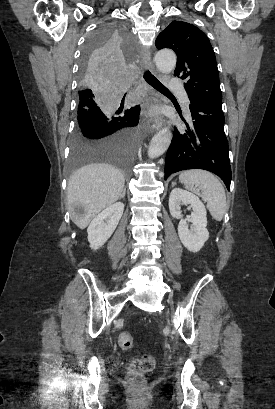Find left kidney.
Here are the masks:
<instances>
[{"mask_svg":"<svg viewBox=\"0 0 275 409\" xmlns=\"http://www.w3.org/2000/svg\"><path fill=\"white\" fill-rule=\"evenodd\" d=\"M180 205H190L193 213L187 219L192 223V229H188L186 219H181L182 211ZM169 209L172 217L181 219L178 225V235L181 243L188 251L198 253L202 249L205 241L209 239L207 227L206 209L198 196L183 190V188H173L169 196Z\"/></svg>","mask_w":275,"mask_h":409,"instance_id":"1","label":"left kidney"}]
</instances>
